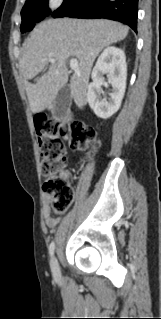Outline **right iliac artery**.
I'll list each match as a JSON object with an SVG mask.
<instances>
[{
    "instance_id": "82829eb1",
    "label": "right iliac artery",
    "mask_w": 161,
    "mask_h": 319,
    "mask_svg": "<svg viewBox=\"0 0 161 319\" xmlns=\"http://www.w3.org/2000/svg\"><path fill=\"white\" fill-rule=\"evenodd\" d=\"M54 250H55V243H54V241H53V242H51V244H50V246H49V253H50V255H53Z\"/></svg>"
}]
</instances>
